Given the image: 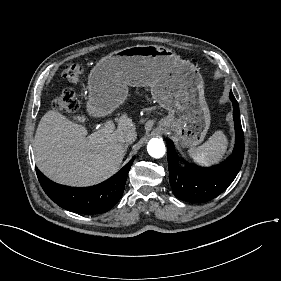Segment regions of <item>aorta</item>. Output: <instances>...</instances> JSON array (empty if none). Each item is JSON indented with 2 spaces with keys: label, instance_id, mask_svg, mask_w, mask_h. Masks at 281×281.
I'll list each match as a JSON object with an SVG mask.
<instances>
[{
  "label": "aorta",
  "instance_id": "762f6f07",
  "mask_svg": "<svg viewBox=\"0 0 281 281\" xmlns=\"http://www.w3.org/2000/svg\"><path fill=\"white\" fill-rule=\"evenodd\" d=\"M147 151L150 156L154 158H161L164 156L166 148L162 139L152 138L147 145Z\"/></svg>",
  "mask_w": 281,
  "mask_h": 281
}]
</instances>
